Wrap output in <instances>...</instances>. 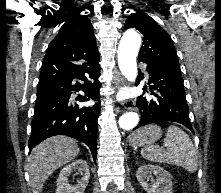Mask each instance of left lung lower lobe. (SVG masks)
Masks as SVG:
<instances>
[{"instance_id": "left-lung-lower-lobe-1", "label": "left lung lower lobe", "mask_w": 221, "mask_h": 193, "mask_svg": "<svg viewBox=\"0 0 221 193\" xmlns=\"http://www.w3.org/2000/svg\"><path fill=\"white\" fill-rule=\"evenodd\" d=\"M146 64L149 83L152 84L149 86L151 96L137 97L141 119L134 130L151 123L172 121L184 125L193 132L181 72L151 63Z\"/></svg>"}]
</instances>
